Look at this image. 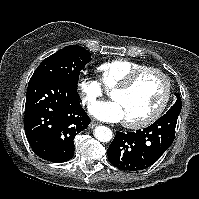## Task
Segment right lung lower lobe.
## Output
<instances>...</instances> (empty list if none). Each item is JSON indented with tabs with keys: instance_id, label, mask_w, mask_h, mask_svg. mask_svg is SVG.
<instances>
[{
	"instance_id": "1",
	"label": "right lung lower lobe",
	"mask_w": 199,
	"mask_h": 199,
	"mask_svg": "<svg viewBox=\"0 0 199 199\" xmlns=\"http://www.w3.org/2000/svg\"><path fill=\"white\" fill-rule=\"evenodd\" d=\"M91 119L77 89L58 77L30 79L25 103V133L33 152L54 163L74 155V138Z\"/></svg>"
}]
</instances>
